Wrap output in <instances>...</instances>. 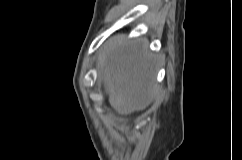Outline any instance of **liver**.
<instances>
[{
    "instance_id": "liver-1",
    "label": "liver",
    "mask_w": 242,
    "mask_h": 160,
    "mask_svg": "<svg viewBox=\"0 0 242 160\" xmlns=\"http://www.w3.org/2000/svg\"><path fill=\"white\" fill-rule=\"evenodd\" d=\"M99 66L110 105L119 114L142 111L155 93V58L143 40L125 41V35L110 38L103 46Z\"/></svg>"
}]
</instances>
